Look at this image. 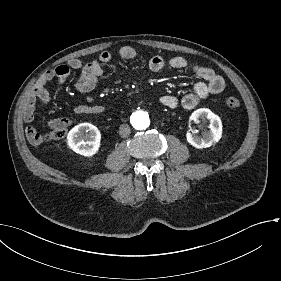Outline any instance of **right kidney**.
I'll return each mask as SVG.
<instances>
[{
  "label": "right kidney",
  "instance_id": "obj_1",
  "mask_svg": "<svg viewBox=\"0 0 281 281\" xmlns=\"http://www.w3.org/2000/svg\"><path fill=\"white\" fill-rule=\"evenodd\" d=\"M100 139V131L91 123H80L71 129V149L83 156L96 154Z\"/></svg>",
  "mask_w": 281,
  "mask_h": 281
}]
</instances>
